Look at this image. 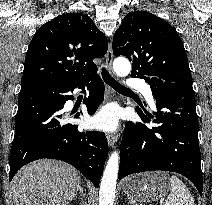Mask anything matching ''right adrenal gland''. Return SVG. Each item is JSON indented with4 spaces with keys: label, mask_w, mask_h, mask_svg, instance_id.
<instances>
[{
    "label": "right adrenal gland",
    "mask_w": 212,
    "mask_h": 205,
    "mask_svg": "<svg viewBox=\"0 0 212 205\" xmlns=\"http://www.w3.org/2000/svg\"><path fill=\"white\" fill-rule=\"evenodd\" d=\"M80 184H81V182H80V179H79L78 180V184H77V189L75 191V194H74L73 198H75L77 196V192L80 191L82 202H83L86 199V194L84 193L83 188H82V186Z\"/></svg>",
    "instance_id": "2a0ac1e0"
}]
</instances>
